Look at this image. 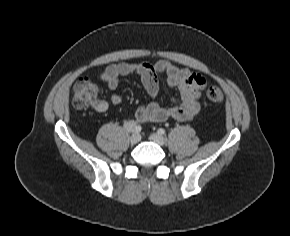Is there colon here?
I'll use <instances>...</instances> for the list:
<instances>
[{"label":"colon","mask_w":290,"mask_h":236,"mask_svg":"<svg viewBox=\"0 0 290 236\" xmlns=\"http://www.w3.org/2000/svg\"><path fill=\"white\" fill-rule=\"evenodd\" d=\"M73 105L77 109H83L95 103L99 95V88L91 79L82 78L77 81L72 90ZM206 99L210 102H221L224 99L223 91L218 86H209L205 90Z\"/></svg>","instance_id":"colon-1"}]
</instances>
